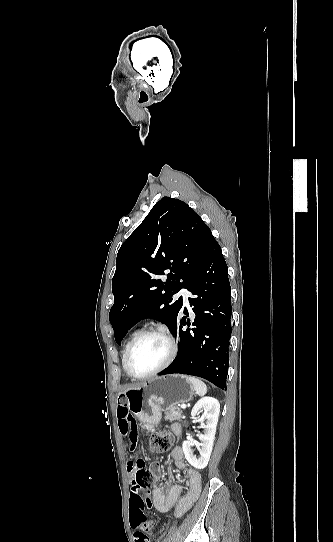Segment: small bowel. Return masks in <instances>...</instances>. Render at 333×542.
<instances>
[{"instance_id": "small-bowel-1", "label": "small bowel", "mask_w": 333, "mask_h": 542, "mask_svg": "<svg viewBox=\"0 0 333 542\" xmlns=\"http://www.w3.org/2000/svg\"><path fill=\"white\" fill-rule=\"evenodd\" d=\"M117 417L119 419V432L124 438V443L129 445L131 451H134L138 441L136 422L129 409L124 405H118ZM171 430L177 436L181 434V426L179 424H173ZM150 433L151 430L147 429V434L149 435ZM171 457L174 465L183 472V478L186 481L187 486L186 493L180 498L183 491L181 483H167L162 487L157 486L152 492L153 505L159 512H170L177 504L174 515L180 517L186 513L199 498L201 493V475L194 468L187 466L184 461L183 450L181 447H174L171 451ZM128 469L133 473V462L128 464ZM137 518L138 510L131 499L129 522L134 530H139L141 528V523L137 521Z\"/></svg>"}]
</instances>
